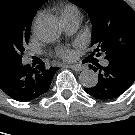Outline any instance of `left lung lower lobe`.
<instances>
[{
    "label": "left lung lower lobe",
    "mask_w": 135,
    "mask_h": 135,
    "mask_svg": "<svg viewBox=\"0 0 135 135\" xmlns=\"http://www.w3.org/2000/svg\"><path fill=\"white\" fill-rule=\"evenodd\" d=\"M107 60L106 67L89 65L94 72H98V83L84 89L89 95L101 100L117 98L135 81V63L114 58Z\"/></svg>",
    "instance_id": "0a47b994"
}]
</instances>
